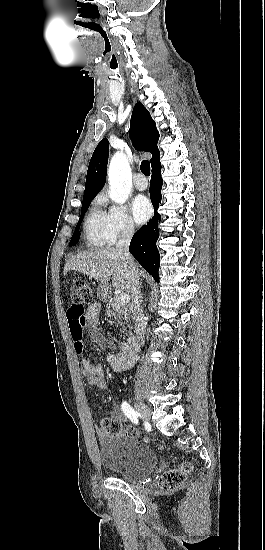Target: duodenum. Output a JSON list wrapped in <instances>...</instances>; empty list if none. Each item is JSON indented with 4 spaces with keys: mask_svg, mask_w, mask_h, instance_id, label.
<instances>
[{
    "mask_svg": "<svg viewBox=\"0 0 265 550\" xmlns=\"http://www.w3.org/2000/svg\"><path fill=\"white\" fill-rule=\"evenodd\" d=\"M127 347L130 349V350H137L138 347H139V343H138V340L134 337H130L128 338L127 340Z\"/></svg>",
    "mask_w": 265,
    "mask_h": 550,
    "instance_id": "410a0bca",
    "label": "duodenum"
}]
</instances>
